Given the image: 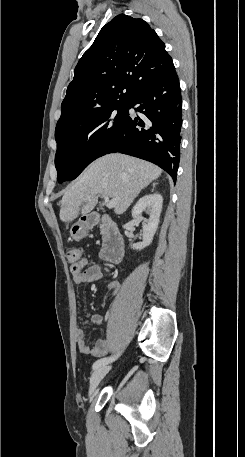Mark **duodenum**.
Segmentation results:
<instances>
[{
  "label": "duodenum",
  "mask_w": 245,
  "mask_h": 457,
  "mask_svg": "<svg viewBox=\"0 0 245 457\" xmlns=\"http://www.w3.org/2000/svg\"><path fill=\"white\" fill-rule=\"evenodd\" d=\"M87 226L100 225L104 232V245L101 252L103 260L119 263L124 256V240L117 224L108 215H88L84 218Z\"/></svg>",
  "instance_id": "1"
}]
</instances>
